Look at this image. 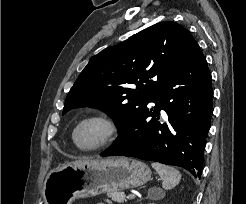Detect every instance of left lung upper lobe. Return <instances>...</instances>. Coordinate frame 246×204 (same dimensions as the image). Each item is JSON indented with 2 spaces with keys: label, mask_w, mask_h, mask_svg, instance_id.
Masks as SVG:
<instances>
[{
  "label": "left lung upper lobe",
  "mask_w": 246,
  "mask_h": 204,
  "mask_svg": "<svg viewBox=\"0 0 246 204\" xmlns=\"http://www.w3.org/2000/svg\"><path fill=\"white\" fill-rule=\"evenodd\" d=\"M196 46L187 29L165 21L106 48L90 59L77 78L63 114L76 107H95L111 116L120 132Z\"/></svg>",
  "instance_id": "left-lung-upper-lobe-1"
}]
</instances>
